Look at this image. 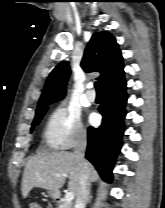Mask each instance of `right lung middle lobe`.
Here are the masks:
<instances>
[{
  "label": "right lung middle lobe",
  "mask_w": 165,
  "mask_h": 208,
  "mask_svg": "<svg viewBox=\"0 0 165 208\" xmlns=\"http://www.w3.org/2000/svg\"><path fill=\"white\" fill-rule=\"evenodd\" d=\"M45 110H46V108L41 110V111L36 112V115H35V118H34V121H33V124H32V129L34 128V126L36 124H38L40 122V120L42 119V117L45 113Z\"/></svg>",
  "instance_id": "dd1d6c3e"
}]
</instances>
